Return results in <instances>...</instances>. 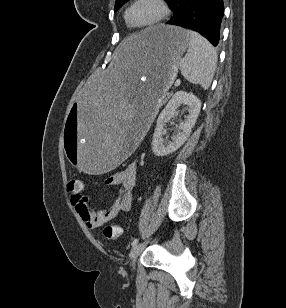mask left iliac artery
<instances>
[{
	"label": "left iliac artery",
	"instance_id": "1",
	"mask_svg": "<svg viewBox=\"0 0 286 308\" xmlns=\"http://www.w3.org/2000/svg\"><path fill=\"white\" fill-rule=\"evenodd\" d=\"M139 242V238H136L132 241V246H135Z\"/></svg>",
	"mask_w": 286,
	"mask_h": 308
}]
</instances>
